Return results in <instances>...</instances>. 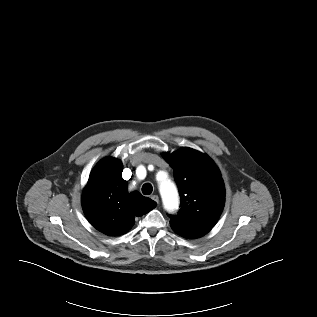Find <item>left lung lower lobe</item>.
Instances as JSON below:
<instances>
[{"mask_svg":"<svg viewBox=\"0 0 317 317\" xmlns=\"http://www.w3.org/2000/svg\"><path fill=\"white\" fill-rule=\"evenodd\" d=\"M211 229L209 228H198V227H192V226H185V225H178L177 226V232L179 235L193 239L198 238L206 233H208Z\"/></svg>","mask_w":317,"mask_h":317,"instance_id":"1","label":"left lung lower lobe"}]
</instances>
